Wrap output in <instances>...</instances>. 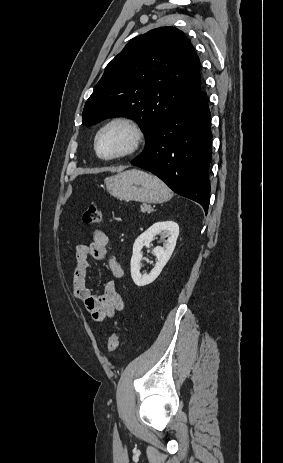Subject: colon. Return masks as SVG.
Instances as JSON below:
<instances>
[{"instance_id":"5ec220e1","label":"colon","mask_w":283,"mask_h":463,"mask_svg":"<svg viewBox=\"0 0 283 463\" xmlns=\"http://www.w3.org/2000/svg\"><path fill=\"white\" fill-rule=\"evenodd\" d=\"M103 213L96 205H89L82 212L81 219L86 224H98L102 221ZM120 343V334L114 332L110 335L107 343V350L109 353H114Z\"/></svg>"}]
</instances>
